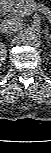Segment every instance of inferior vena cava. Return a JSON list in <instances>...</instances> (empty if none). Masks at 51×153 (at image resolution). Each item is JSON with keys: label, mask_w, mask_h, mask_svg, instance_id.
<instances>
[{"label": "inferior vena cava", "mask_w": 51, "mask_h": 153, "mask_svg": "<svg viewBox=\"0 0 51 153\" xmlns=\"http://www.w3.org/2000/svg\"><path fill=\"white\" fill-rule=\"evenodd\" d=\"M22 26V22L17 18H11L3 21L0 25V31L2 33L11 34L18 31Z\"/></svg>", "instance_id": "obj_1"}]
</instances>
